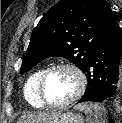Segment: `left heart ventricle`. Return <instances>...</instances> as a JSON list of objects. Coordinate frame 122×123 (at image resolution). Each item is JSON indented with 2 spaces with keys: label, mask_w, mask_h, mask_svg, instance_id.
<instances>
[{
  "label": "left heart ventricle",
  "mask_w": 122,
  "mask_h": 123,
  "mask_svg": "<svg viewBox=\"0 0 122 123\" xmlns=\"http://www.w3.org/2000/svg\"><path fill=\"white\" fill-rule=\"evenodd\" d=\"M77 89V77L68 69L56 70L48 77L44 94L52 103H60L70 98Z\"/></svg>",
  "instance_id": "b2bd125f"
}]
</instances>
